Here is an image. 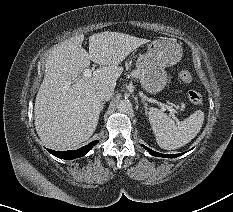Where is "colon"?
<instances>
[{
    "label": "colon",
    "mask_w": 233,
    "mask_h": 212,
    "mask_svg": "<svg viewBox=\"0 0 233 212\" xmlns=\"http://www.w3.org/2000/svg\"><path fill=\"white\" fill-rule=\"evenodd\" d=\"M178 78L186 84L191 83L193 80L191 73L186 70L180 71L178 73ZM187 96L189 101L195 106H200L203 102L201 94L197 91L191 90L188 92Z\"/></svg>",
    "instance_id": "colon-1"
}]
</instances>
